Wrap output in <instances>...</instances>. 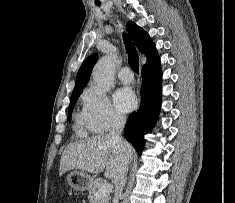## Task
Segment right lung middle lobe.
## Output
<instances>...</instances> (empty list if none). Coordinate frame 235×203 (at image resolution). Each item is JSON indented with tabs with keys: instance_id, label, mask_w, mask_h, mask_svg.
<instances>
[{
	"instance_id": "1",
	"label": "right lung middle lobe",
	"mask_w": 235,
	"mask_h": 203,
	"mask_svg": "<svg viewBox=\"0 0 235 203\" xmlns=\"http://www.w3.org/2000/svg\"><path fill=\"white\" fill-rule=\"evenodd\" d=\"M80 93H76V94H72L71 96V101H70V105H69V118H71V114L74 108L75 103L77 102L78 97L80 96Z\"/></svg>"
}]
</instances>
